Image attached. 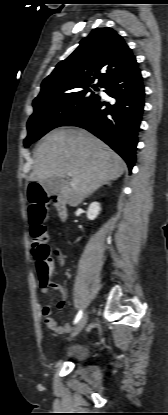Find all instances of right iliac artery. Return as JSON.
Listing matches in <instances>:
<instances>
[{"instance_id":"1","label":"right iliac artery","mask_w":168,"mask_h":415,"mask_svg":"<svg viewBox=\"0 0 168 415\" xmlns=\"http://www.w3.org/2000/svg\"><path fill=\"white\" fill-rule=\"evenodd\" d=\"M82 315H83V311L82 310H79V312L76 315V318L74 320V324H76L82 318Z\"/></svg>"}]
</instances>
